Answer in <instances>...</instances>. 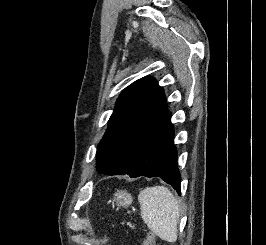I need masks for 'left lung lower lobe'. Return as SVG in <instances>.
<instances>
[{
    "mask_svg": "<svg viewBox=\"0 0 266 245\" xmlns=\"http://www.w3.org/2000/svg\"><path fill=\"white\" fill-rule=\"evenodd\" d=\"M171 113H166L159 123L140 141L134 161L125 172L132 178L160 177L180 194L181 177L177 167V151L173 144L174 130Z\"/></svg>",
    "mask_w": 266,
    "mask_h": 245,
    "instance_id": "0a47b994",
    "label": "left lung lower lobe"
}]
</instances>
